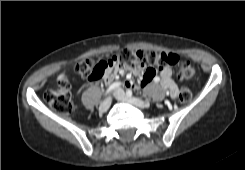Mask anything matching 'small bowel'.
<instances>
[{
  "label": "small bowel",
  "mask_w": 245,
  "mask_h": 170,
  "mask_svg": "<svg viewBox=\"0 0 245 170\" xmlns=\"http://www.w3.org/2000/svg\"><path fill=\"white\" fill-rule=\"evenodd\" d=\"M139 71H133L134 75H137ZM124 74V69L121 67H115L109 69L104 75V81L106 84H110L114 79ZM152 80V75L150 71H145L143 77L141 78V85L146 86ZM159 82L161 86L168 92L170 98L175 100L178 97L179 89L176 81L173 78V70L170 67H164L159 75ZM133 85L131 79L128 77L124 82L125 87H131Z\"/></svg>",
  "instance_id": "small-bowel-1"
}]
</instances>
